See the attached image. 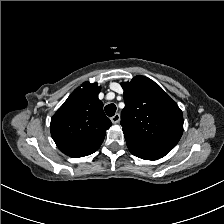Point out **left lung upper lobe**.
Returning a JSON list of instances; mask_svg holds the SVG:
<instances>
[{
  "label": "left lung upper lobe",
  "instance_id": "5c2ea615",
  "mask_svg": "<svg viewBox=\"0 0 224 224\" xmlns=\"http://www.w3.org/2000/svg\"><path fill=\"white\" fill-rule=\"evenodd\" d=\"M125 107L121 126L128 148L165 156L183 133V114L177 103L151 79L138 75L123 82Z\"/></svg>",
  "mask_w": 224,
  "mask_h": 224
}]
</instances>
